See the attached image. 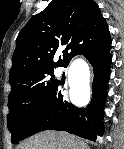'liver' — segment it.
I'll return each instance as SVG.
<instances>
[{
	"instance_id": "obj_1",
	"label": "liver",
	"mask_w": 124,
	"mask_h": 149,
	"mask_svg": "<svg viewBox=\"0 0 124 149\" xmlns=\"http://www.w3.org/2000/svg\"><path fill=\"white\" fill-rule=\"evenodd\" d=\"M87 145L68 133L42 132L26 140L19 149H87Z\"/></svg>"
}]
</instances>
